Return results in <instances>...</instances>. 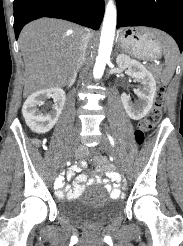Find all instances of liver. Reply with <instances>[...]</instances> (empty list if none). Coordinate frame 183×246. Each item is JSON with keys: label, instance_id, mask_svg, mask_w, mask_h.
<instances>
[{"label": "liver", "instance_id": "1", "mask_svg": "<svg viewBox=\"0 0 183 246\" xmlns=\"http://www.w3.org/2000/svg\"><path fill=\"white\" fill-rule=\"evenodd\" d=\"M85 34L94 35L59 19L42 18L24 27L19 37L25 63L24 97L69 82Z\"/></svg>", "mask_w": 183, "mask_h": 246}]
</instances>
